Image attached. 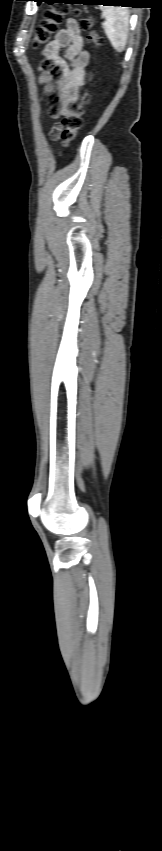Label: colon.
<instances>
[{
    "mask_svg": "<svg viewBox=\"0 0 162 851\" xmlns=\"http://www.w3.org/2000/svg\"><path fill=\"white\" fill-rule=\"evenodd\" d=\"M68 11L69 9L66 6L58 5L44 12L42 22L35 30L33 40L35 47L46 44L50 40ZM74 14L78 16L79 11L75 10ZM80 27L87 32V40L90 43L94 45L102 44L101 36L93 28V19L91 17H82L80 19ZM89 102L90 93L87 90H83L79 101L71 106L69 113L64 115L54 128V134L61 140L65 147L69 146L76 139L83 124L85 108Z\"/></svg>",
    "mask_w": 162,
    "mask_h": 851,
    "instance_id": "colon-1",
    "label": "colon"
}]
</instances>
